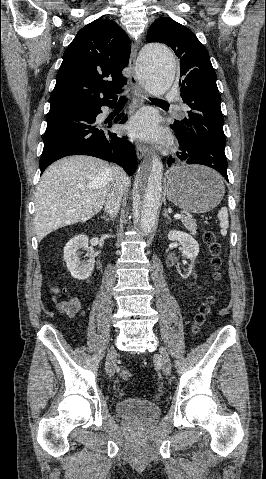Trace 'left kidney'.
Here are the masks:
<instances>
[{"instance_id": "5707ae66", "label": "left kidney", "mask_w": 266, "mask_h": 479, "mask_svg": "<svg viewBox=\"0 0 266 479\" xmlns=\"http://www.w3.org/2000/svg\"><path fill=\"white\" fill-rule=\"evenodd\" d=\"M168 239L171 241H178L182 245V253L183 256L188 258L191 261V265L186 272H182L178 270V273L183 279H186L190 276L193 268L194 261L199 253V244L198 242L191 236L182 231H170L168 233Z\"/></svg>"}]
</instances>
